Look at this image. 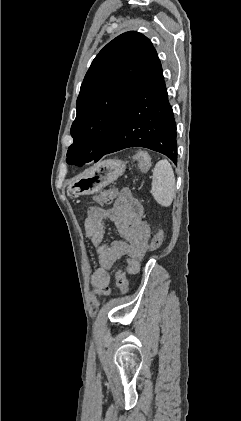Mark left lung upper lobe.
<instances>
[{"instance_id":"1","label":"left lung upper lobe","mask_w":241,"mask_h":421,"mask_svg":"<svg viewBox=\"0 0 241 421\" xmlns=\"http://www.w3.org/2000/svg\"><path fill=\"white\" fill-rule=\"evenodd\" d=\"M154 50L148 38L129 31L113 39L95 57L77 98L68 164L99 160L105 154Z\"/></svg>"}]
</instances>
